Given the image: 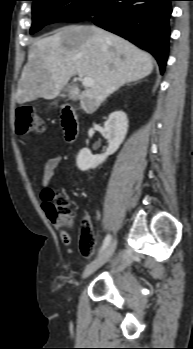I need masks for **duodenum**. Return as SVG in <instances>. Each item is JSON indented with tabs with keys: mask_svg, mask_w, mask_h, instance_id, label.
Instances as JSON below:
<instances>
[{
	"mask_svg": "<svg viewBox=\"0 0 193 349\" xmlns=\"http://www.w3.org/2000/svg\"><path fill=\"white\" fill-rule=\"evenodd\" d=\"M62 126L65 139L68 142L75 141L79 133V122L75 110L67 105L62 110Z\"/></svg>",
	"mask_w": 193,
	"mask_h": 349,
	"instance_id": "obj_1",
	"label": "duodenum"
}]
</instances>
